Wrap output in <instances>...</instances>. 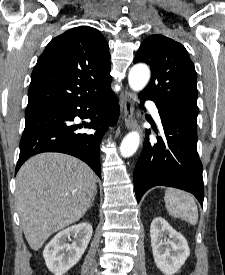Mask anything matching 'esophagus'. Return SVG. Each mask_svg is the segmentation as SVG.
<instances>
[{"label": "esophagus", "instance_id": "esophagus-1", "mask_svg": "<svg viewBox=\"0 0 225 275\" xmlns=\"http://www.w3.org/2000/svg\"><path fill=\"white\" fill-rule=\"evenodd\" d=\"M136 94L131 91H126L124 94V122L127 129H137L141 136L142 132L138 126L137 120L135 118V102Z\"/></svg>", "mask_w": 225, "mask_h": 275}]
</instances>
